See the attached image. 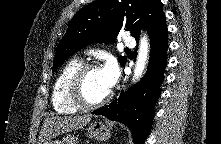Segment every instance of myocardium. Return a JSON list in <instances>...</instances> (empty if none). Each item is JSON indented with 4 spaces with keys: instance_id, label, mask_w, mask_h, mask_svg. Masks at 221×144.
<instances>
[{
    "instance_id": "myocardium-1",
    "label": "myocardium",
    "mask_w": 221,
    "mask_h": 144,
    "mask_svg": "<svg viewBox=\"0 0 221 144\" xmlns=\"http://www.w3.org/2000/svg\"><path fill=\"white\" fill-rule=\"evenodd\" d=\"M95 69H100L96 63H83L71 76L68 82V96L70 101L80 109L97 108L107 103L111 97L112 92L109 91L103 98L96 102H91L86 99L83 92V82L86 75Z\"/></svg>"
}]
</instances>
